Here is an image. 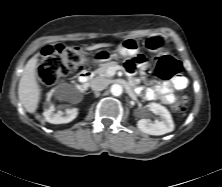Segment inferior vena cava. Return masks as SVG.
Segmentation results:
<instances>
[{"label":"inferior vena cava","instance_id":"1","mask_svg":"<svg viewBox=\"0 0 222 187\" xmlns=\"http://www.w3.org/2000/svg\"><path fill=\"white\" fill-rule=\"evenodd\" d=\"M90 86L94 91H101L107 87V81L101 77H97L90 82Z\"/></svg>","mask_w":222,"mask_h":187}]
</instances>
